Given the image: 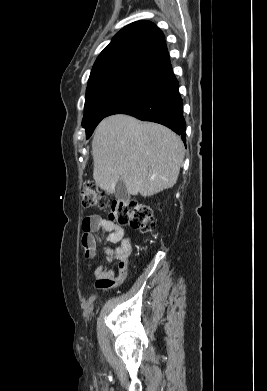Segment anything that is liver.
Instances as JSON below:
<instances>
[{
    "mask_svg": "<svg viewBox=\"0 0 267 391\" xmlns=\"http://www.w3.org/2000/svg\"><path fill=\"white\" fill-rule=\"evenodd\" d=\"M92 155L93 178L102 190L112 194L122 180L130 195L146 197L174 186L184 145L165 126L117 114L97 126Z\"/></svg>",
    "mask_w": 267,
    "mask_h": 391,
    "instance_id": "liver-1",
    "label": "liver"
}]
</instances>
